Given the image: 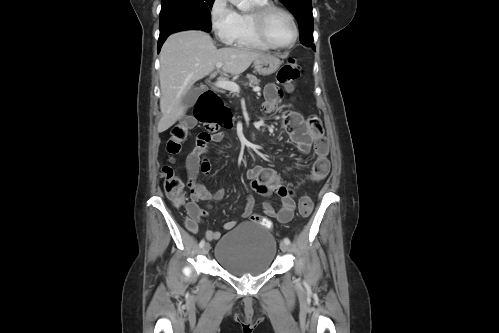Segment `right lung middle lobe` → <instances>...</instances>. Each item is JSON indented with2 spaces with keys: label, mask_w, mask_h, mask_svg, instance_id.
I'll return each instance as SVG.
<instances>
[{
  "label": "right lung middle lobe",
  "mask_w": 499,
  "mask_h": 333,
  "mask_svg": "<svg viewBox=\"0 0 499 333\" xmlns=\"http://www.w3.org/2000/svg\"><path fill=\"white\" fill-rule=\"evenodd\" d=\"M214 0H162L160 37L183 30H211Z\"/></svg>",
  "instance_id": "dd1d6c3e"
}]
</instances>
